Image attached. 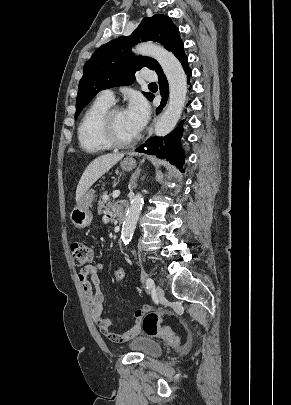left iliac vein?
Here are the masks:
<instances>
[{"label":"left iliac vein","mask_w":291,"mask_h":405,"mask_svg":"<svg viewBox=\"0 0 291 405\" xmlns=\"http://www.w3.org/2000/svg\"><path fill=\"white\" fill-rule=\"evenodd\" d=\"M155 295L157 298H162L164 296V290L160 286H156Z\"/></svg>","instance_id":"obj_1"}]
</instances>
